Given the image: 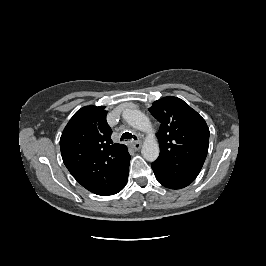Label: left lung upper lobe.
Wrapping results in <instances>:
<instances>
[{
  "label": "left lung upper lobe",
  "instance_id": "1",
  "mask_svg": "<svg viewBox=\"0 0 266 266\" xmlns=\"http://www.w3.org/2000/svg\"><path fill=\"white\" fill-rule=\"evenodd\" d=\"M161 123L157 134L160 155L151 164L154 174L189 185L199 174L208 152L209 128L183 100L164 97L149 108Z\"/></svg>",
  "mask_w": 266,
  "mask_h": 266
}]
</instances>
